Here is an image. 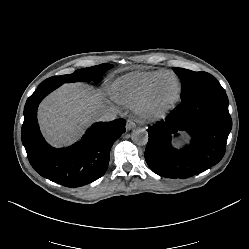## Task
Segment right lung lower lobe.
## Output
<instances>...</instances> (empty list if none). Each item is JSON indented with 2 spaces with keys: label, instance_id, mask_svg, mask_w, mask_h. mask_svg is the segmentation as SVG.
Listing matches in <instances>:
<instances>
[{
  "label": "right lung lower lobe",
  "instance_id": "obj_1",
  "mask_svg": "<svg viewBox=\"0 0 249 249\" xmlns=\"http://www.w3.org/2000/svg\"><path fill=\"white\" fill-rule=\"evenodd\" d=\"M59 86H38L27 99L21 137L32 167L41 176L66 187H79L106 172L110 149L125 132L126 121L94 123L74 145L62 149L51 147L40 133L37 108L42 99Z\"/></svg>",
  "mask_w": 249,
  "mask_h": 249
}]
</instances>
